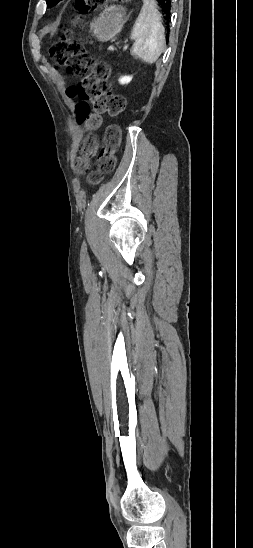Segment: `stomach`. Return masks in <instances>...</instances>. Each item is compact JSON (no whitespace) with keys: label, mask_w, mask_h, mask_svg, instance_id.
Here are the masks:
<instances>
[{"label":"stomach","mask_w":253,"mask_h":548,"mask_svg":"<svg viewBox=\"0 0 253 548\" xmlns=\"http://www.w3.org/2000/svg\"><path fill=\"white\" fill-rule=\"evenodd\" d=\"M125 9L121 6H110L91 23V30L99 41L113 39L122 28Z\"/></svg>","instance_id":"stomach-1"}]
</instances>
